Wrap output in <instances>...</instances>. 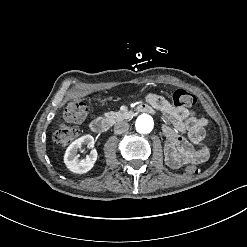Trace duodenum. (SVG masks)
I'll return each instance as SVG.
<instances>
[{"label": "duodenum", "instance_id": "obj_1", "mask_svg": "<svg viewBox=\"0 0 247 247\" xmlns=\"http://www.w3.org/2000/svg\"><path fill=\"white\" fill-rule=\"evenodd\" d=\"M143 111L148 112L150 111L149 106L141 104L136 106L134 109L128 112V115L131 117L134 112ZM110 128L109 120L106 118L98 117L93 119L90 122V129L95 133H104Z\"/></svg>", "mask_w": 247, "mask_h": 247}]
</instances>
